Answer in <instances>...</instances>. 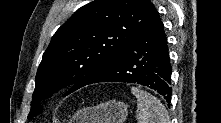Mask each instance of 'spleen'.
<instances>
[{
  "instance_id": "obj_1",
  "label": "spleen",
  "mask_w": 221,
  "mask_h": 123,
  "mask_svg": "<svg viewBox=\"0 0 221 123\" xmlns=\"http://www.w3.org/2000/svg\"><path fill=\"white\" fill-rule=\"evenodd\" d=\"M131 93L137 99L138 123H169L165 106L155 96L137 87H132Z\"/></svg>"
}]
</instances>
